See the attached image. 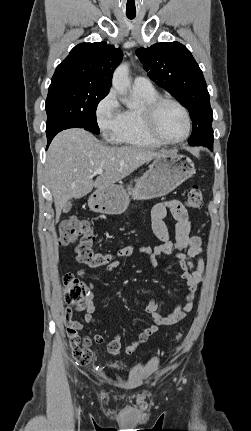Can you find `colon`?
<instances>
[{"mask_svg": "<svg viewBox=\"0 0 251 431\" xmlns=\"http://www.w3.org/2000/svg\"><path fill=\"white\" fill-rule=\"evenodd\" d=\"M203 204V196L198 186L194 185L186 197V205L190 209H200ZM94 233L87 220L77 217H69L63 220L59 226V244L69 246L75 244V255L78 262L92 268L106 266L111 262V255L100 253L94 249ZM64 298L68 305L82 307L87 296V287L73 274L63 276ZM182 338L179 334L175 343ZM96 363H100V355L95 353Z\"/></svg>", "mask_w": 251, "mask_h": 431, "instance_id": "colon-1", "label": "colon"}]
</instances>
